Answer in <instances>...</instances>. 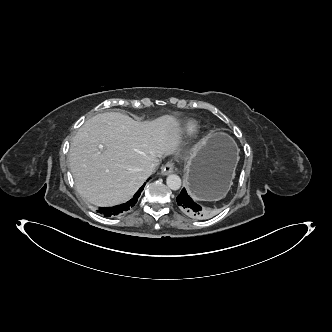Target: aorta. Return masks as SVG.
I'll use <instances>...</instances> for the list:
<instances>
[{
  "mask_svg": "<svg viewBox=\"0 0 332 332\" xmlns=\"http://www.w3.org/2000/svg\"><path fill=\"white\" fill-rule=\"evenodd\" d=\"M167 186L172 190H178L181 187V179L176 174H171L166 178Z\"/></svg>",
  "mask_w": 332,
  "mask_h": 332,
  "instance_id": "obj_1",
  "label": "aorta"
}]
</instances>
